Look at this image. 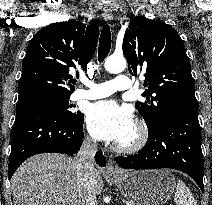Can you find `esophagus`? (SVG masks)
I'll list each match as a JSON object with an SVG mask.
<instances>
[{"label": "esophagus", "mask_w": 212, "mask_h": 205, "mask_svg": "<svg viewBox=\"0 0 212 205\" xmlns=\"http://www.w3.org/2000/svg\"><path fill=\"white\" fill-rule=\"evenodd\" d=\"M103 17L106 21H108L110 23L111 26H113L112 24V20H113V13L110 7L105 6L103 9ZM106 172L108 174L111 175H115V174H119V170L118 168L115 166L114 162L112 159H109L108 161V165H107V169Z\"/></svg>", "instance_id": "1"}]
</instances>
